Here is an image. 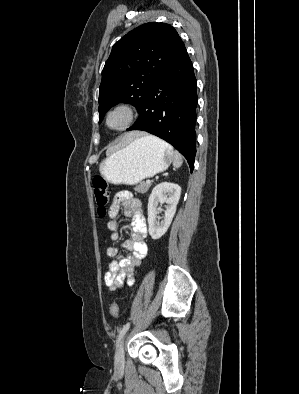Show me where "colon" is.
<instances>
[{"mask_svg":"<svg viewBox=\"0 0 299 394\" xmlns=\"http://www.w3.org/2000/svg\"><path fill=\"white\" fill-rule=\"evenodd\" d=\"M92 186L97 205V213L100 217H105L107 214V206L110 201L109 183L104 176L96 175L92 180ZM109 312L114 318L118 316L119 308L115 302L111 303Z\"/></svg>","mask_w":299,"mask_h":394,"instance_id":"5ec220e1","label":"colon"}]
</instances>
